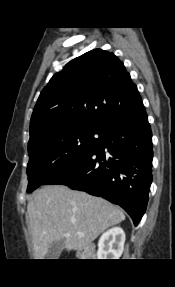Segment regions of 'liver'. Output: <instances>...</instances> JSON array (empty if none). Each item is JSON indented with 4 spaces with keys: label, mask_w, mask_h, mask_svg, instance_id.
Returning a JSON list of instances; mask_svg holds the SVG:
<instances>
[{
    "label": "liver",
    "mask_w": 175,
    "mask_h": 287,
    "mask_svg": "<svg viewBox=\"0 0 175 287\" xmlns=\"http://www.w3.org/2000/svg\"><path fill=\"white\" fill-rule=\"evenodd\" d=\"M27 212L35 259H44L50 245L61 239L68 251H81L107 228L125 220L110 202L62 185L37 190Z\"/></svg>",
    "instance_id": "obj_1"
}]
</instances>
